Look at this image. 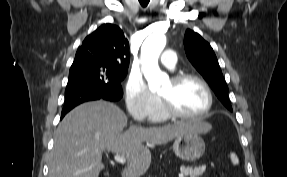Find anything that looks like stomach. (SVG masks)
Listing matches in <instances>:
<instances>
[{"label":"stomach","mask_w":287,"mask_h":177,"mask_svg":"<svg viewBox=\"0 0 287 177\" xmlns=\"http://www.w3.org/2000/svg\"><path fill=\"white\" fill-rule=\"evenodd\" d=\"M173 151L184 161L193 162L205 152V142L199 132H188L175 138Z\"/></svg>","instance_id":"stomach-1"}]
</instances>
